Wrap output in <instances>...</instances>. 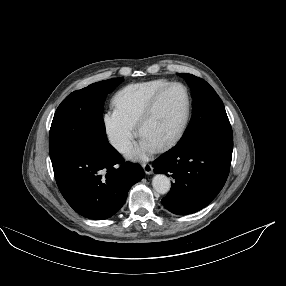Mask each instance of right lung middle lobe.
Returning <instances> with one entry per match:
<instances>
[{
    "label": "right lung middle lobe",
    "instance_id": "dd1d6c3e",
    "mask_svg": "<svg viewBox=\"0 0 286 286\" xmlns=\"http://www.w3.org/2000/svg\"><path fill=\"white\" fill-rule=\"evenodd\" d=\"M124 78L91 84L68 95L58 106L49 133L51 161L79 148L111 157L115 149L108 143L103 121L105 96Z\"/></svg>",
    "mask_w": 286,
    "mask_h": 286
}]
</instances>
